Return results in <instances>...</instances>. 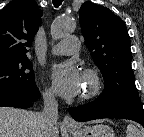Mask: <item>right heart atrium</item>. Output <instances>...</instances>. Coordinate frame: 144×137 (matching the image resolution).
Returning a JSON list of instances; mask_svg holds the SVG:
<instances>
[{"label":"right heart atrium","mask_w":144,"mask_h":137,"mask_svg":"<svg viewBox=\"0 0 144 137\" xmlns=\"http://www.w3.org/2000/svg\"><path fill=\"white\" fill-rule=\"evenodd\" d=\"M44 97L47 101L51 102L54 100V92L51 88H46L44 91Z\"/></svg>","instance_id":"1"}]
</instances>
